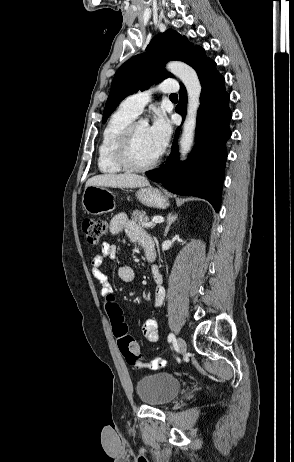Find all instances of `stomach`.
<instances>
[{
  "label": "stomach",
  "instance_id": "1",
  "mask_svg": "<svg viewBox=\"0 0 294 462\" xmlns=\"http://www.w3.org/2000/svg\"><path fill=\"white\" fill-rule=\"evenodd\" d=\"M138 200L146 206L164 209L169 206L168 199L151 186L140 188L136 192ZM82 205L88 214L101 215L116 208L115 195L103 186H88L82 197Z\"/></svg>",
  "mask_w": 294,
  "mask_h": 462
}]
</instances>
